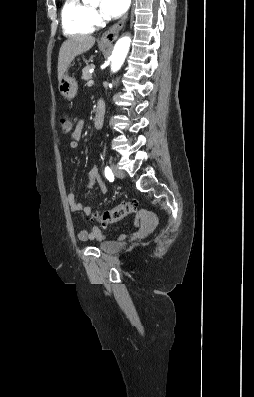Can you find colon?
I'll use <instances>...</instances> for the list:
<instances>
[{
  "instance_id": "colon-1",
  "label": "colon",
  "mask_w": 254,
  "mask_h": 397,
  "mask_svg": "<svg viewBox=\"0 0 254 397\" xmlns=\"http://www.w3.org/2000/svg\"><path fill=\"white\" fill-rule=\"evenodd\" d=\"M60 128L62 133L67 134L71 130V122L66 116H61L59 120ZM138 210V205L133 200H128L120 203L114 208L106 210L101 214L95 215V219L103 226L112 225L126 216L136 213Z\"/></svg>"
}]
</instances>
